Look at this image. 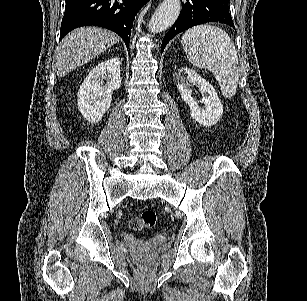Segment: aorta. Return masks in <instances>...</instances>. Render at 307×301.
<instances>
[{
  "instance_id": "762f6f07",
  "label": "aorta",
  "mask_w": 307,
  "mask_h": 301,
  "mask_svg": "<svg viewBox=\"0 0 307 301\" xmlns=\"http://www.w3.org/2000/svg\"><path fill=\"white\" fill-rule=\"evenodd\" d=\"M180 10V0H163L148 22L150 32L155 34V32H162V30L172 26L176 18H178Z\"/></svg>"
}]
</instances>
